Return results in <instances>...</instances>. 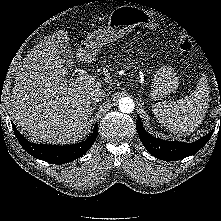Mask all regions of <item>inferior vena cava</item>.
Wrapping results in <instances>:
<instances>
[{
	"mask_svg": "<svg viewBox=\"0 0 221 221\" xmlns=\"http://www.w3.org/2000/svg\"><path fill=\"white\" fill-rule=\"evenodd\" d=\"M106 97V92L103 89L95 88L90 92V100L93 102L102 101Z\"/></svg>",
	"mask_w": 221,
	"mask_h": 221,
	"instance_id": "obj_1",
	"label": "inferior vena cava"
}]
</instances>
